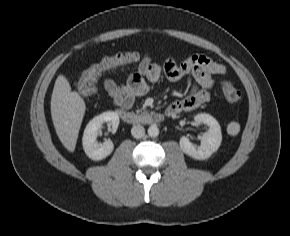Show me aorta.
Here are the masks:
<instances>
[{
	"instance_id": "aorta-1",
	"label": "aorta",
	"mask_w": 290,
	"mask_h": 236,
	"mask_svg": "<svg viewBox=\"0 0 290 236\" xmlns=\"http://www.w3.org/2000/svg\"><path fill=\"white\" fill-rule=\"evenodd\" d=\"M148 135L150 137H157L159 135V128L157 125H151L148 128Z\"/></svg>"
}]
</instances>
